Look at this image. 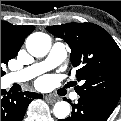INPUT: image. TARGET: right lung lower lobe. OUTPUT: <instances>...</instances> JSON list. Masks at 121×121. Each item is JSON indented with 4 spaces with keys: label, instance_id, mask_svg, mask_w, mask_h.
Returning a JSON list of instances; mask_svg holds the SVG:
<instances>
[{
    "label": "right lung lower lobe",
    "instance_id": "1",
    "mask_svg": "<svg viewBox=\"0 0 121 121\" xmlns=\"http://www.w3.org/2000/svg\"><path fill=\"white\" fill-rule=\"evenodd\" d=\"M35 98H42L34 92L6 93L1 90V121H22L27 106Z\"/></svg>",
    "mask_w": 121,
    "mask_h": 121
}]
</instances>
